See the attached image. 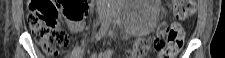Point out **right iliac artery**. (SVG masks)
I'll list each match as a JSON object with an SVG mask.
<instances>
[{"label": "right iliac artery", "mask_w": 225, "mask_h": 58, "mask_svg": "<svg viewBox=\"0 0 225 58\" xmlns=\"http://www.w3.org/2000/svg\"><path fill=\"white\" fill-rule=\"evenodd\" d=\"M111 23H112V17L107 16L106 20L103 22L102 26L100 27L99 31L96 34V37H95L96 41L100 40L102 37L105 36Z\"/></svg>", "instance_id": "obj_1"}]
</instances>
